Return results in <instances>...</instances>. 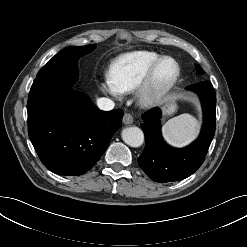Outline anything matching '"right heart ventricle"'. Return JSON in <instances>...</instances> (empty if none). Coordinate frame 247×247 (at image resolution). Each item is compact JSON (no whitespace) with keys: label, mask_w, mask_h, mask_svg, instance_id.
<instances>
[{"label":"right heart ventricle","mask_w":247,"mask_h":247,"mask_svg":"<svg viewBox=\"0 0 247 247\" xmlns=\"http://www.w3.org/2000/svg\"><path fill=\"white\" fill-rule=\"evenodd\" d=\"M161 56L151 51H134L118 57L110 71V80L123 93L134 90L150 67Z\"/></svg>","instance_id":"right-heart-ventricle-1"}]
</instances>
